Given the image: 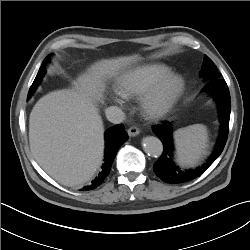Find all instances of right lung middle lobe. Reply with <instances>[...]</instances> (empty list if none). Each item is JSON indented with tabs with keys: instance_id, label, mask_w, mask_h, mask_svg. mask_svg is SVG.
<instances>
[{
	"instance_id": "1",
	"label": "right lung middle lobe",
	"mask_w": 250,
	"mask_h": 250,
	"mask_svg": "<svg viewBox=\"0 0 250 250\" xmlns=\"http://www.w3.org/2000/svg\"><path fill=\"white\" fill-rule=\"evenodd\" d=\"M47 60H48V58H46L44 60V63H46ZM44 74H45V68H44V66H42L40 68V70H39V72H38L32 86L30 87L27 99H29L31 97V95L33 94V92L36 90V88H37L38 84L40 83V81H41L42 77L44 76Z\"/></svg>"
}]
</instances>
